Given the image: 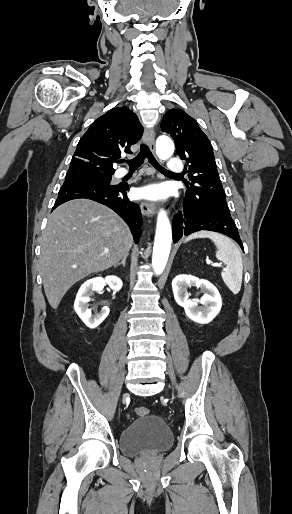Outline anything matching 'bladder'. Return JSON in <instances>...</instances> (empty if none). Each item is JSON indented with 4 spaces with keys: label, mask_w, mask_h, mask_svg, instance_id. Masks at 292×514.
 Instances as JSON below:
<instances>
[{
    "label": "bladder",
    "mask_w": 292,
    "mask_h": 514,
    "mask_svg": "<svg viewBox=\"0 0 292 514\" xmlns=\"http://www.w3.org/2000/svg\"><path fill=\"white\" fill-rule=\"evenodd\" d=\"M173 443V434L158 415L141 416L130 422L121 432L119 444L123 454L138 456L160 452Z\"/></svg>",
    "instance_id": "bladder-1"
}]
</instances>
